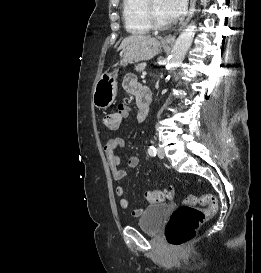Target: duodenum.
I'll return each mask as SVG.
<instances>
[{
  "label": "duodenum",
  "instance_id": "1",
  "mask_svg": "<svg viewBox=\"0 0 261 273\" xmlns=\"http://www.w3.org/2000/svg\"><path fill=\"white\" fill-rule=\"evenodd\" d=\"M151 94L146 89H143L141 96L138 98V114H137V121L142 123L146 117L148 116L150 107H151Z\"/></svg>",
  "mask_w": 261,
  "mask_h": 273
}]
</instances>
